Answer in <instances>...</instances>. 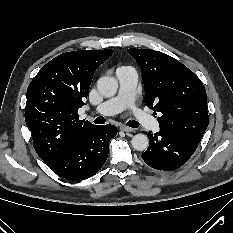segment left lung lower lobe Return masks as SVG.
<instances>
[{"instance_id": "left-lung-lower-lobe-1", "label": "left lung lower lobe", "mask_w": 233, "mask_h": 233, "mask_svg": "<svg viewBox=\"0 0 233 233\" xmlns=\"http://www.w3.org/2000/svg\"><path fill=\"white\" fill-rule=\"evenodd\" d=\"M149 137V147L142 154V159L153 169L172 171L181 167L195 152L200 139L185 133L160 128Z\"/></svg>"}]
</instances>
